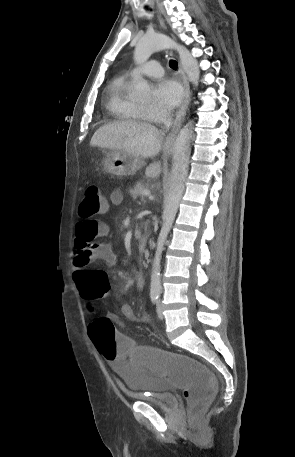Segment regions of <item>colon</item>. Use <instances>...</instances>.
Returning a JSON list of instances; mask_svg holds the SVG:
<instances>
[{
    "instance_id": "1",
    "label": "colon",
    "mask_w": 295,
    "mask_h": 457,
    "mask_svg": "<svg viewBox=\"0 0 295 457\" xmlns=\"http://www.w3.org/2000/svg\"><path fill=\"white\" fill-rule=\"evenodd\" d=\"M108 204L100 187L91 183L79 205V215L83 219L105 212ZM79 252L86 253L84 250ZM84 263V259L80 264ZM110 293V274L101 269L87 271V286L82 296L94 308L93 302ZM93 349L104 360L113 363L129 362L130 366H140V372H161L167 383H176V390H183L189 406V415L196 416L207 404L213 390H217L216 375L205 369L204 363H197L190 357H181V351H165L164 346H136L129 341L127 330H115L108 318H97L89 328Z\"/></svg>"
}]
</instances>
